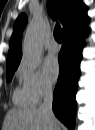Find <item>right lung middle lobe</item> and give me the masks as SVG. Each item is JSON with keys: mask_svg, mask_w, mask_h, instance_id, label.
Wrapping results in <instances>:
<instances>
[{"mask_svg": "<svg viewBox=\"0 0 95 130\" xmlns=\"http://www.w3.org/2000/svg\"><path fill=\"white\" fill-rule=\"evenodd\" d=\"M16 68L6 70V80L11 81Z\"/></svg>", "mask_w": 95, "mask_h": 130, "instance_id": "obj_1", "label": "right lung middle lobe"}]
</instances>
